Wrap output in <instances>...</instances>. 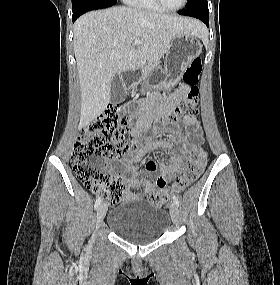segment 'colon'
Here are the masks:
<instances>
[{"mask_svg":"<svg viewBox=\"0 0 280 285\" xmlns=\"http://www.w3.org/2000/svg\"><path fill=\"white\" fill-rule=\"evenodd\" d=\"M201 69V61L198 58L194 59L186 69L183 81L189 91L167 121L175 122L197 114ZM127 129V121L120 111L114 107L108 108L83 127L71 155L77 179L88 190L99 195L111 205L120 200L123 186L118 177L107 171V163L117 155L136 148V143L127 137ZM206 156V151L200 144H197L172 188L182 190L194 183L204 170ZM169 194L170 190L161 189L151 193L148 201L161 205L168 200Z\"/></svg>","mask_w":280,"mask_h":285,"instance_id":"obj_1","label":"colon"}]
</instances>
